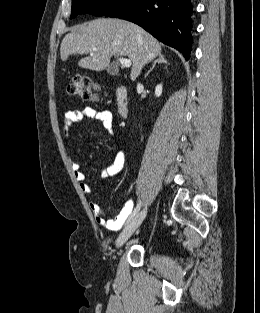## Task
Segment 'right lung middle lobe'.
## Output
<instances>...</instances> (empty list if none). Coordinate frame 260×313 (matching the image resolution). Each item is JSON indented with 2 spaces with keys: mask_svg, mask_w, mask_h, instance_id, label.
Returning a JSON list of instances; mask_svg holds the SVG:
<instances>
[{
  "mask_svg": "<svg viewBox=\"0 0 260 313\" xmlns=\"http://www.w3.org/2000/svg\"><path fill=\"white\" fill-rule=\"evenodd\" d=\"M126 0H72L71 18L78 14L103 16Z\"/></svg>",
  "mask_w": 260,
  "mask_h": 313,
  "instance_id": "1",
  "label": "right lung middle lobe"
}]
</instances>
